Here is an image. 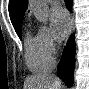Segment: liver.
Returning <instances> with one entry per match:
<instances>
[{"instance_id": "1", "label": "liver", "mask_w": 89, "mask_h": 89, "mask_svg": "<svg viewBox=\"0 0 89 89\" xmlns=\"http://www.w3.org/2000/svg\"><path fill=\"white\" fill-rule=\"evenodd\" d=\"M58 84L59 83L51 76L35 75L25 80L24 89H56Z\"/></svg>"}]
</instances>
